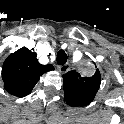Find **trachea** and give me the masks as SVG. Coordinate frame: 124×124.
<instances>
[{
    "label": "trachea",
    "mask_w": 124,
    "mask_h": 124,
    "mask_svg": "<svg viewBox=\"0 0 124 124\" xmlns=\"http://www.w3.org/2000/svg\"><path fill=\"white\" fill-rule=\"evenodd\" d=\"M68 56L64 50H59L57 53V64L58 65H63L67 62Z\"/></svg>",
    "instance_id": "1"
}]
</instances>
